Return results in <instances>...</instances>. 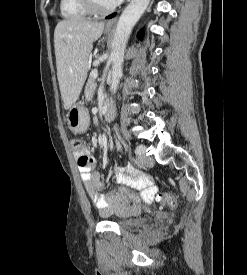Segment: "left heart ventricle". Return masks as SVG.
I'll return each mask as SVG.
<instances>
[{"label":"left heart ventricle","mask_w":247,"mask_h":275,"mask_svg":"<svg viewBox=\"0 0 247 275\" xmlns=\"http://www.w3.org/2000/svg\"><path fill=\"white\" fill-rule=\"evenodd\" d=\"M95 1L102 8H108V7L113 6V1L112 0H95Z\"/></svg>","instance_id":"1"}]
</instances>
